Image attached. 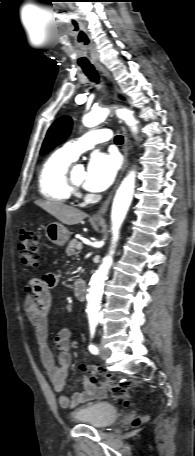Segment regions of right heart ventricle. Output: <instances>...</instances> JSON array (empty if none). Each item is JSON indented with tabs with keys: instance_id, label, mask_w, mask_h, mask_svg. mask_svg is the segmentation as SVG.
<instances>
[{
	"instance_id": "e07e8e85",
	"label": "right heart ventricle",
	"mask_w": 195,
	"mask_h": 456,
	"mask_svg": "<svg viewBox=\"0 0 195 456\" xmlns=\"http://www.w3.org/2000/svg\"><path fill=\"white\" fill-rule=\"evenodd\" d=\"M74 160L62 150L52 153L43 163L38 175L40 194L51 201L67 202L74 191L67 182V172Z\"/></svg>"
}]
</instances>
